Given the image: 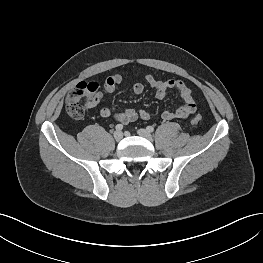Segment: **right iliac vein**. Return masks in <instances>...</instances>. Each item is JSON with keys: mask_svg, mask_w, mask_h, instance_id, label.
Here are the masks:
<instances>
[{"mask_svg": "<svg viewBox=\"0 0 263 263\" xmlns=\"http://www.w3.org/2000/svg\"><path fill=\"white\" fill-rule=\"evenodd\" d=\"M113 136L116 141H120L123 138V133L120 131H116L114 132Z\"/></svg>", "mask_w": 263, "mask_h": 263, "instance_id": "obj_1", "label": "right iliac vein"}]
</instances>
